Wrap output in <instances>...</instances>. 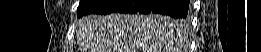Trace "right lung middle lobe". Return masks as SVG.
<instances>
[{
  "instance_id": "obj_1",
  "label": "right lung middle lobe",
  "mask_w": 261,
  "mask_h": 52,
  "mask_svg": "<svg viewBox=\"0 0 261 52\" xmlns=\"http://www.w3.org/2000/svg\"><path fill=\"white\" fill-rule=\"evenodd\" d=\"M105 0H81L79 7L77 9L78 17H81L88 12L92 11L96 7L103 4ZM166 20L170 23L177 24L180 26H185L187 24L186 19H179V18H173V17H166Z\"/></svg>"
}]
</instances>
